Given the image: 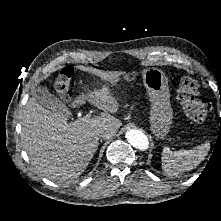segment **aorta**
<instances>
[{
	"label": "aorta",
	"mask_w": 221,
	"mask_h": 221,
	"mask_svg": "<svg viewBox=\"0 0 221 221\" xmlns=\"http://www.w3.org/2000/svg\"><path fill=\"white\" fill-rule=\"evenodd\" d=\"M125 137L129 144L136 149L146 150L148 148V138L139 130L130 129L126 132Z\"/></svg>",
	"instance_id": "1"
}]
</instances>
